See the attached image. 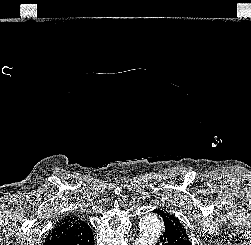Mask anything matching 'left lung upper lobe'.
I'll use <instances>...</instances> for the list:
<instances>
[{"instance_id": "1", "label": "left lung upper lobe", "mask_w": 251, "mask_h": 245, "mask_svg": "<svg viewBox=\"0 0 251 245\" xmlns=\"http://www.w3.org/2000/svg\"><path fill=\"white\" fill-rule=\"evenodd\" d=\"M159 211L163 214V222L165 228L173 227L175 231L186 241H189L188 234L186 232V229L181 224L178 218H176L173 214L168 213L167 211H162L159 209ZM166 217V218H164ZM190 242V241H189Z\"/></svg>"}]
</instances>
